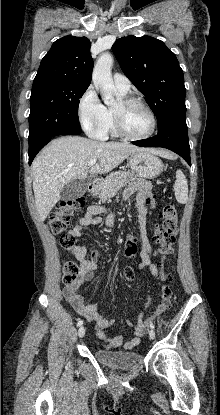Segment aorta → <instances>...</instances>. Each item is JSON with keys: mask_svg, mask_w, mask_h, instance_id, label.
I'll return each instance as SVG.
<instances>
[{"mask_svg": "<svg viewBox=\"0 0 220 415\" xmlns=\"http://www.w3.org/2000/svg\"><path fill=\"white\" fill-rule=\"evenodd\" d=\"M113 65V57L110 53L101 54L94 66L92 80L96 89L101 92L102 99L106 105L115 103L113 96V80L111 76V68Z\"/></svg>", "mask_w": 220, "mask_h": 415, "instance_id": "762f6f07", "label": "aorta"}]
</instances>
